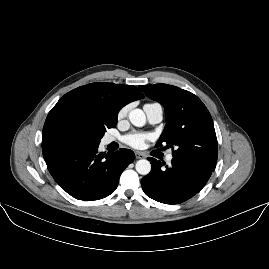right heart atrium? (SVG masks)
I'll return each instance as SVG.
<instances>
[{
    "label": "right heart atrium",
    "instance_id": "1",
    "mask_svg": "<svg viewBox=\"0 0 269 269\" xmlns=\"http://www.w3.org/2000/svg\"><path fill=\"white\" fill-rule=\"evenodd\" d=\"M129 110H130L129 105H126V106L122 107L117 113L118 120L126 117L128 115Z\"/></svg>",
    "mask_w": 269,
    "mask_h": 269
}]
</instances>
